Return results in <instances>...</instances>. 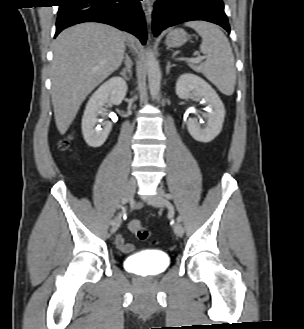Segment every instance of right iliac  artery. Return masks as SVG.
Returning a JSON list of instances; mask_svg holds the SVG:
<instances>
[{"mask_svg":"<svg viewBox=\"0 0 304 329\" xmlns=\"http://www.w3.org/2000/svg\"><path fill=\"white\" fill-rule=\"evenodd\" d=\"M128 202V198L127 197H123L122 200H121V204H126ZM115 220L116 219H113L110 221V224L113 225L115 223Z\"/></svg>","mask_w":304,"mask_h":329,"instance_id":"82829eb1","label":"right iliac artery"}]
</instances>
